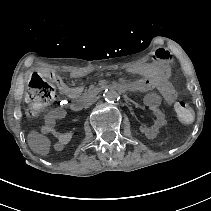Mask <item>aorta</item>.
Wrapping results in <instances>:
<instances>
[{
  "label": "aorta",
  "mask_w": 211,
  "mask_h": 211,
  "mask_svg": "<svg viewBox=\"0 0 211 211\" xmlns=\"http://www.w3.org/2000/svg\"><path fill=\"white\" fill-rule=\"evenodd\" d=\"M104 97L108 103H113L120 99L119 93L115 90H107Z\"/></svg>",
  "instance_id": "aorta-1"
}]
</instances>
